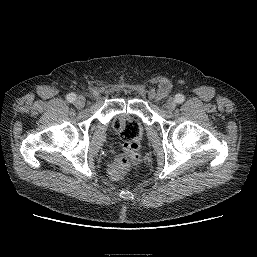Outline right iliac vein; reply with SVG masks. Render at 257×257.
Returning <instances> with one entry per match:
<instances>
[{
	"mask_svg": "<svg viewBox=\"0 0 257 257\" xmlns=\"http://www.w3.org/2000/svg\"><path fill=\"white\" fill-rule=\"evenodd\" d=\"M85 105V98L83 96H79L75 100V106L79 109L83 108Z\"/></svg>",
	"mask_w": 257,
	"mask_h": 257,
	"instance_id": "1",
	"label": "right iliac vein"
}]
</instances>
